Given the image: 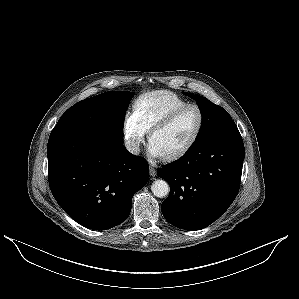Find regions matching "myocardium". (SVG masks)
Returning <instances> with one entry per match:
<instances>
[{
  "label": "myocardium",
  "mask_w": 299,
  "mask_h": 299,
  "mask_svg": "<svg viewBox=\"0 0 299 299\" xmlns=\"http://www.w3.org/2000/svg\"><path fill=\"white\" fill-rule=\"evenodd\" d=\"M190 108H195L199 113V123H198L197 129H196L195 133L193 134V136L191 137V139L187 142V144L185 146H183L181 149H179V150H177L173 153H170V154H167V155L163 156L167 160H175V159H178V158L182 157L183 155L188 153L192 149V147L196 144V142L198 141V139L201 135V132L203 130L204 123H205V114H204L203 109L198 104L188 103L184 106H181V107L175 109L169 115H167L165 118H163L162 120H160L159 122L154 124L149 129L148 139H149V141H151L153 135L157 131L168 127L184 111H186L187 109H190Z\"/></svg>",
  "instance_id": "f54148a6"
}]
</instances>
